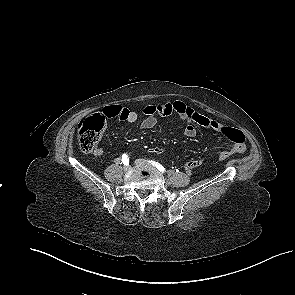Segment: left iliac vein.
Instances as JSON below:
<instances>
[{
  "label": "left iliac vein",
  "mask_w": 295,
  "mask_h": 295,
  "mask_svg": "<svg viewBox=\"0 0 295 295\" xmlns=\"http://www.w3.org/2000/svg\"><path fill=\"white\" fill-rule=\"evenodd\" d=\"M135 164L138 166H151L150 163L144 159H137Z\"/></svg>",
  "instance_id": "left-iliac-vein-1"
}]
</instances>
